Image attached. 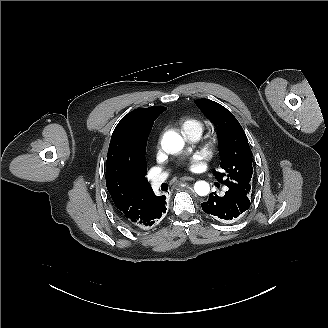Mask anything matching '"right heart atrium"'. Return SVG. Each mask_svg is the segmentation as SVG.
I'll return each mask as SVG.
<instances>
[{
	"label": "right heart atrium",
	"mask_w": 328,
	"mask_h": 328,
	"mask_svg": "<svg viewBox=\"0 0 328 328\" xmlns=\"http://www.w3.org/2000/svg\"><path fill=\"white\" fill-rule=\"evenodd\" d=\"M162 136H163V131H161V132L157 135V137H156V139H155V141H154V145H153V150H154V152H158V151H159Z\"/></svg>",
	"instance_id": "obj_1"
}]
</instances>
